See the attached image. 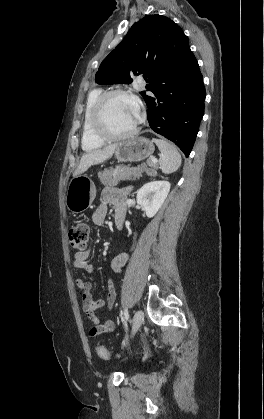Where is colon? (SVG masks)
Returning <instances> with one entry per match:
<instances>
[{
  "mask_svg": "<svg viewBox=\"0 0 264 419\" xmlns=\"http://www.w3.org/2000/svg\"><path fill=\"white\" fill-rule=\"evenodd\" d=\"M153 175V172H149ZM89 241V227L85 223H79L73 226L69 231V243L72 248L83 251L86 249ZM97 355L101 359H109L111 357L110 352L103 346L96 347Z\"/></svg>",
  "mask_w": 264,
  "mask_h": 419,
  "instance_id": "obj_1",
  "label": "colon"
}]
</instances>
